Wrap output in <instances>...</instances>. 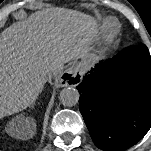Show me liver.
<instances>
[{"instance_id":"6515ba94","label":"liver","mask_w":151,"mask_h":151,"mask_svg":"<svg viewBox=\"0 0 151 151\" xmlns=\"http://www.w3.org/2000/svg\"><path fill=\"white\" fill-rule=\"evenodd\" d=\"M95 19L79 11L55 8L16 22L0 37V118L29 107L42 92L53 68L88 58ZM36 132L28 127L27 139Z\"/></svg>"}]
</instances>
